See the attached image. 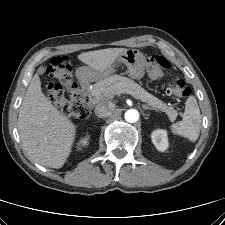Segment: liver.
I'll list each match as a JSON object with an SVG mask.
<instances>
[{"instance_id": "6515ba94", "label": "liver", "mask_w": 225, "mask_h": 225, "mask_svg": "<svg viewBox=\"0 0 225 225\" xmlns=\"http://www.w3.org/2000/svg\"><path fill=\"white\" fill-rule=\"evenodd\" d=\"M126 48H107L78 55L96 71L109 69ZM18 129L29 158L43 166L61 168L69 157L76 126L44 95L35 74L26 91L18 115Z\"/></svg>"}]
</instances>
